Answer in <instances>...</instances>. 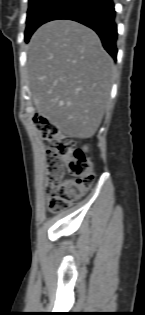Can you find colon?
<instances>
[{
	"label": "colon",
	"mask_w": 145,
	"mask_h": 315,
	"mask_svg": "<svg viewBox=\"0 0 145 315\" xmlns=\"http://www.w3.org/2000/svg\"><path fill=\"white\" fill-rule=\"evenodd\" d=\"M34 123L47 143L45 190L50 195L51 208L61 211L92 184L95 168L74 139L62 133L55 124L44 117H36ZM66 174L74 178L66 179Z\"/></svg>",
	"instance_id": "colon-1"
}]
</instances>
